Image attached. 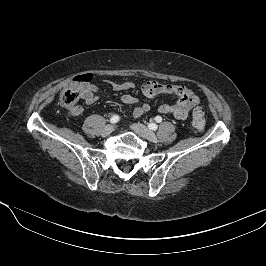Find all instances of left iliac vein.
<instances>
[{
	"label": "left iliac vein",
	"mask_w": 266,
	"mask_h": 266,
	"mask_svg": "<svg viewBox=\"0 0 266 266\" xmlns=\"http://www.w3.org/2000/svg\"><path fill=\"white\" fill-rule=\"evenodd\" d=\"M131 128L137 135L142 138H145L152 142H155L157 140L155 133L140 123L132 124Z\"/></svg>",
	"instance_id": "left-iliac-vein-1"
}]
</instances>
